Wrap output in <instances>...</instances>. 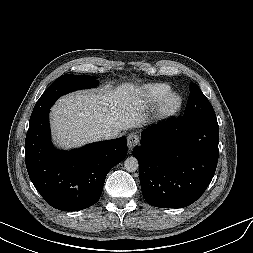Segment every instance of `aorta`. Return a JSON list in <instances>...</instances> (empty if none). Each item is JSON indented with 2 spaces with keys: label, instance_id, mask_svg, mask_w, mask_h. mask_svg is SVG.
<instances>
[{
  "label": "aorta",
  "instance_id": "aorta-1",
  "mask_svg": "<svg viewBox=\"0 0 253 253\" xmlns=\"http://www.w3.org/2000/svg\"><path fill=\"white\" fill-rule=\"evenodd\" d=\"M139 167L138 160L131 156L128 157L124 162V168L128 172H135Z\"/></svg>",
  "mask_w": 253,
  "mask_h": 253
}]
</instances>
